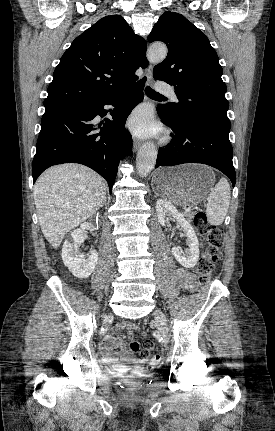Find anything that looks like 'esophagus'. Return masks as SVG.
<instances>
[{"label": "esophagus", "instance_id": "esophagus-1", "mask_svg": "<svg viewBox=\"0 0 275 431\" xmlns=\"http://www.w3.org/2000/svg\"><path fill=\"white\" fill-rule=\"evenodd\" d=\"M152 71H153V67L150 64L147 69L145 70L144 76L146 78V84H150L151 83V79H152ZM141 146V142L138 140H134L133 141V149L134 151H136L139 147Z\"/></svg>", "mask_w": 275, "mask_h": 431}]
</instances>
